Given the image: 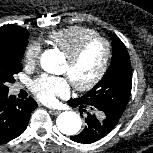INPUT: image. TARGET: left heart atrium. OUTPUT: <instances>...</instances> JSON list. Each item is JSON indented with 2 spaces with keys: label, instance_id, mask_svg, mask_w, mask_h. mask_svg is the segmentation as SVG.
I'll return each instance as SVG.
<instances>
[{
  "label": "left heart atrium",
  "instance_id": "left-heart-atrium-1",
  "mask_svg": "<svg viewBox=\"0 0 153 153\" xmlns=\"http://www.w3.org/2000/svg\"><path fill=\"white\" fill-rule=\"evenodd\" d=\"M32 91L36 97L46 104H54L58 97H66L70 92L67 77L41 75L32 83Z\"/></svg>",
  "mask_w": 153,
  "mask_h": 153
}]
</instances>
